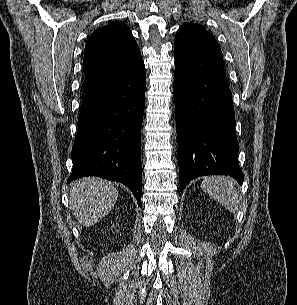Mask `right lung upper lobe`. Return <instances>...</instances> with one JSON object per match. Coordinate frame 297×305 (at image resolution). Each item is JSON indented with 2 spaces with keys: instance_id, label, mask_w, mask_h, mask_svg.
Listing matches in <instances>:
<instances>
[{
  "instance_id": "cb5924a9",
  "label": "right lung upper lobe",
  "mask_w": 297,
  "mask_h": 305,
  "mask_svg": "<svg viewBox=\"0 0 297 305\" xmlns=\"http://www.w3.org/2000/svg\"><path fill=\"white\" fill-rule=\"evenodd\" d=\"M142 64L141 52L126 24L111 23L97 29L85 46L84 92L120 79Z\"/></svg>"
}]
</instances>
